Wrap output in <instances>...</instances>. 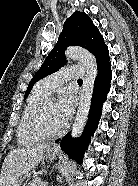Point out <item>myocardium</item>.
Listing matches in <instances>:
<instances>
[{
	"label": "myocardium",
	"instance_id": "myocardium-1",
	"mask_svg": "<svg viewBox=\"0 0 138 186\" xmlns=\"http://www.w3.org/2000/svg\"><path fill=\"white\" fill-rule=\"evenodd\" d=\"M51 102H54L52 98H45L42 100L30 113L28 120H27V130L28 132L36 137L37 139H52L56 138L60 135H62L66 129H67V124H65L60 130L53 132V133H47L43 131L40 126H39V118L47 105Z\"/></svg>",
	"mask_w": 138,
	"mask_h": 186
}]
</instances>
